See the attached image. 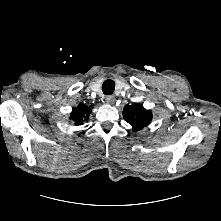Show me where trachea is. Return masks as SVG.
<instances>
[{"label":"trachea","mask_w":221,"mask_h":221,"mask_svg":"<svg viewBox=\"0 0 221 221\" xmlns=\"http://www.w3.org/2000/svg\"><path fill=\"white\" fill-rule=\"evenodd\" d=\"M115 90V82L111 79L105 80L103 83V93L111 95Z\"/></svg>","instance_id":"obj_1"}]
</instances>
